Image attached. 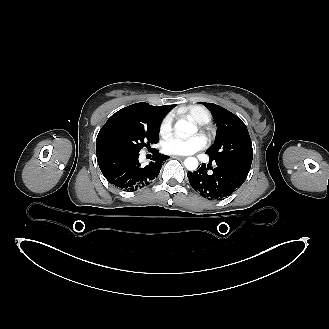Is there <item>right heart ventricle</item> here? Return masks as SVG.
<instances>
[{
    "instance_id": "e07e8e85",
    "label": "right heart ventricle",
    "mask_w": 329,
    "mask_h": 329,
    "mask_svg": "<svg viewBox=\"0 0 329 329\" xmlns=\"http://www.w3.org/2000/svg\"><path fill=\"white\" fill-rule=\"evenodd\" d=\"M184 112L198 124H207L212 118L211 113L205 107L200 105L189 106Z\"/></svg>"
}]
</instances>
